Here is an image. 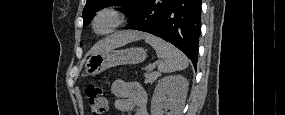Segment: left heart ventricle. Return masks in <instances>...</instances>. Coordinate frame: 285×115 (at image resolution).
<instances>
[{"label": "left heart ventricle", "mask_w": 285, "mask_h": 115, "mask_svg": "<svg viewBox=\"0 0 285 115\" xmlns=\"http://www.w3.org/2000/svg\"><path fill=\"white\" fill-rule=\"evenodd\" d=\"M108 25H109V21L107 19H103L99 24V28L103 29V28H106Z\"/></svg>", "instance_id": "left-heart-ventricle-1"}]
</instances>
